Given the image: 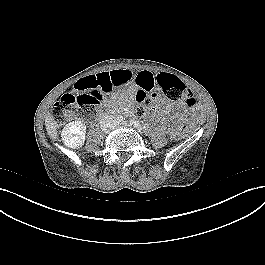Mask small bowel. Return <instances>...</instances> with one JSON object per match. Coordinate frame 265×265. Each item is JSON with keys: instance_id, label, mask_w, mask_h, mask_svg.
Masks as SVG:
<instances>
[{"instance_id": "c3829d8e", "label": "small bowel", "mask_w": 265, "mask_h": 265, "mask_svg": "<svg viewBox=\"0 0 265 265\" xmlns=\"http://www.w3.org/2000/svg\"><path fill=\"white\" fill-rule=\"evenodd\" d=\"M156 75L157 74H154L150 71H143L140 72L137 76H135L131 71L128 70H114L109 72H103L97 74L96 76L106 77L110 82L115 85L114 88L127 87L129 93L133 94L138 88L154 90L157 89L158 87L155 84ZM183 108V102L178 103L177 105L167 104L161 108L154 109L152 115L155 117H161L166 115L173 109Z\"/></svg>"}]
</instances>
